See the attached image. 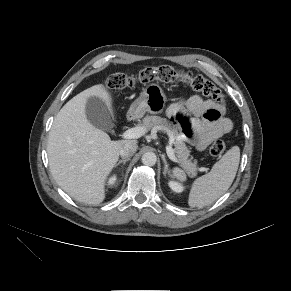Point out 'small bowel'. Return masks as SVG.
<instances>
[{"instance_id":"1","label":"small bowel","mask_w":291,"mask_h":291,"mask_svg":"<svg viewBox=\"0 0 291 291\" xmlns=\"http://www.w3.org/2000/svg\"><path fill=\"white\" fill-rule=\"evenodd\" d=\"M168 115L181 126L187 141L199 151L232 129L231 120L225 117V108L199 95L173 103L168 108Z\"/></svg>"}]
</instances>
